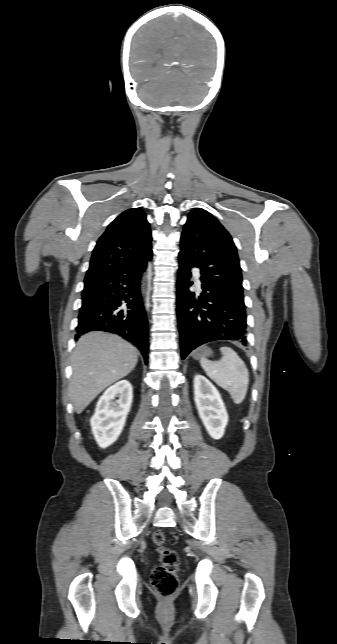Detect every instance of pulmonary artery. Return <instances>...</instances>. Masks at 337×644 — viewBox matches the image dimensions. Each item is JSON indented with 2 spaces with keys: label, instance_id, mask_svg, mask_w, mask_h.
<instances>
[{
  "label": "pulmonary artery",
  "instance_id": "pulmonary-artery-1",
  "mask_svg": "<svg viewBox=\"0 0 337 644\" xmlns=\"http://www.w3.org/2000/svg\"><path fill=\"white\" fill-rule=\"evenodd\" d=\"M197 277V284L200 285V280L198 279V275L196 274Z\"/></svg>",
  "mask_w": 337,
  "mask_h": 644
}]
</instances>
